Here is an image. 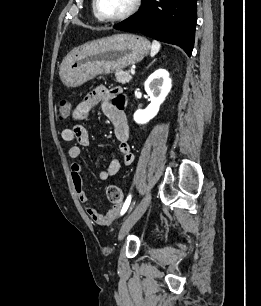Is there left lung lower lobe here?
<instances>
[{
    "label": "left lung lower lobe",
    "mask_w": 261,
    "mask_h": 306,
    "mask_svg": "<svg viewBox=\"0 0 261 306\" xmlns=\"http://www.w3.org/2000/svg\"><path fill=\"white\" fill-rule=\"evenodd\" d=\"M197 0H142L139 12L113 26L141 32L162 42L175 44L191 55L194 46Z\"/></svg>",
    "instance_id": "0a47b994"
}]
</instances>
